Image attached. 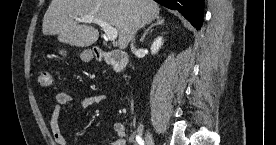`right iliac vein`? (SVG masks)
<instances>
[{
	"label": "right iliac vein",
	"instance_id": "63e3f726",
	"mask_svg": "<svg viewBox=\"0 0 276 145\" xmlns=\"http://www.w3.org/2000/svg\"><path fill=\"white\" fill-rule=\"evenodd\" d=\"M146 144L147 145H153L154 144L152 134L149 131L146 134Z\"/></svg>",
	"mask_w": 276,
	"mask_h": 145
}]
</instances>
